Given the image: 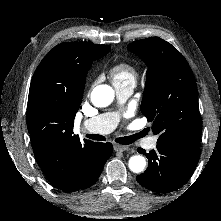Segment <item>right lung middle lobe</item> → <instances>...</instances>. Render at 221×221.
Wrapping results in <instances>:
<instances>
[{"label": "right lung middle lobe", "mask_w": 221, "mask_h": 221, "mask_svg": "<svg viewBox=\"0 0 221 221\" xmlns=\"http://www.w3.org/2000/svg\"><path fill=\"white\" fill-rule=\"evenodd\" d=\"M110 50H111L110 46L109 47H98L92 55H90L89 57L84 59L83 63H86L90 67L93 60H96L98 58L105 56Z\"/></svg>", "instance_id": "1"}]
</instances>
